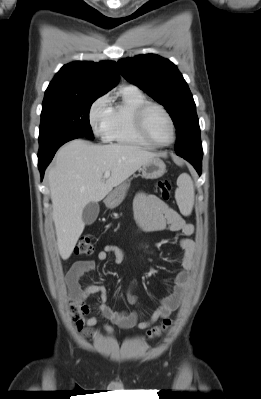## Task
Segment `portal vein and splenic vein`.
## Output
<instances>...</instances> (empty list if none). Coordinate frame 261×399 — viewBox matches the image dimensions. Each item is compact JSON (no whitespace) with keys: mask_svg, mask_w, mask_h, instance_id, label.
<instances>
[{"mask_svg":"<svg viewBox=\"0 0 261 399\" xmlns=\"http://www.w3.org/2000/svg\"><path fill=\"white\" fill-rule=\"evenodd\" d=\"M110 176V172L109 171H106L105 173H104V179H107L108 177Z\"/></svg>","mask_w":261,"mask_h":399,"instance_id":"1","label":"portal vein and splenic vein"}]
</instances>
